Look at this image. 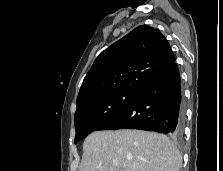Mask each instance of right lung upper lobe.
Returning a JSON list of instances; mask_svg holds the SVG:
<instances>
[{
	"label": "right lung upper lobe",
	"instance_id": "cb5924a9",
	"mask_svg": "<svg viewBox=\"0 0 223 171\" xmlns=\"http://www.w3.org/2000/svg\"><path fill=\"white\" fill-rule=\"evenodd\" d=\"M174 63L164 35L153 27L138 26L96 58L80 88L77 109L110 93L139 92Z\"/></svg>",
	"mask_w": 223,
	"mask_h": 171
}]
</instances>
